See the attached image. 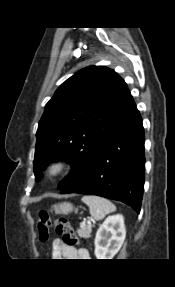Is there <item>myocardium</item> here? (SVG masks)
<instances>
[{"label": "myocardium", "instance_id": "obj_1", "mask_svg": "<svg viewBox=\"0 0 175 287\" xmlns=\"http://www.w3.org/2000/svg\"><path fill=\"white\" fill-rule=\"evenodd\" d=\"M70 167V162L65 158L52 160L45 168L44 174L48 179H57L64 175Z\"/></svg>", "mask_w": 175, "mask_h": 287}]
</instances>
